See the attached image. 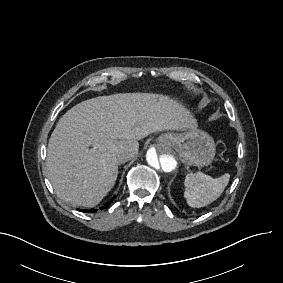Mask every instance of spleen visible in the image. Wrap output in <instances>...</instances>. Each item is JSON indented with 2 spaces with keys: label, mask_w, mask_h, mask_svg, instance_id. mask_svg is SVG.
Masks as SVG:
<instances>
[{
  "label": "spleen",
  "mask_w": 283,
  "mask_h": 283,
  "mask_svg": "<svg viewBox=\"0 0 283 283\" xmlns=\"http://www.w3.org/2000/svg\"><path fill=\"white\" fill-rule=\"evenodd\" d=\"M230 175L212 178L202 172L186 175L184 197L192 208L204 207L220 197L229 183Z\"/></svg>",
  "instance_id": "1"
}]
</instances>
